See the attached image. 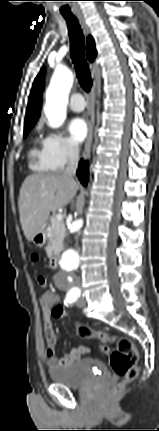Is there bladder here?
<instances>
[{"instance_id":"bladder-1","label":"bladder","mask_w":159,"mask_h":431,"mask_svg":"<svg viewBox=\"0 0 159 431\" xmlns=\"http://www.w3.org/2000/svg\"><path fill=\"white\" fill-rule=\"evenodd\" d=\"M109 376L107 366L93 358H83L65 367L49 369V377L54 383L70 389H80Z\"/></svg>"}]
</instances>
